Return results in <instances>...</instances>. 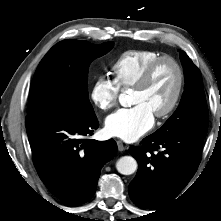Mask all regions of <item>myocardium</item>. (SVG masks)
<instances>
[{"label": "myocardium", "mask_w": 221, "mask_h": 221, "mask_svg": "<svg viewBox=\"0 0 221 221\" xmlns=\"http://www.w3.org/2000/svg\"><path fill=\"white\" fill-rule=\"evenodd\" d=\"M171 63L176 71H177V84L176 88L173 94V97L168 104V106L162 110L161 112L155 113V117L158 119H164L167 118L172 112L176 109L184 88V83H185V75H184V70L179 61H177L175 58L171 56H161L151 63H149L145 69L142 71L138 79L135 81V83L132 86V89H142L144 88L147 83L149 82L150 78L152 77L154 71L158 68L159 65L162 63Z\"/></svg>", "instance_id": "myocardium-1"}]
</instances>
